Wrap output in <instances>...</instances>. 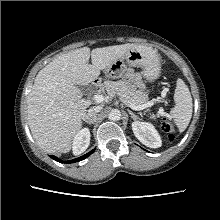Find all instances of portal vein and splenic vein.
<instances>
[{
    "label": "portal vein and splenic vein",
    "mask_w": 220,
    "mask_h": 220,
    "mask_svg": "<svg viewBox=\"0 0 220 220\" xmlns=\"http://www.w3.org/2000/svg\"><path fill=\"white\" fill-rule=\"evenodd\" d=\"M93 100L97 103H102L103 101L106 100V98L103 95L100 94H96L93 96ZM155 101H148L145 104L142 105H134V104H130L129 107L133 110L139 111V110H143L146 109L148 107H151L152 105H154Z\"/></svg>",
    "instance_id": "portal-vein-and-splenic-vein-1"
}]
</instances>
